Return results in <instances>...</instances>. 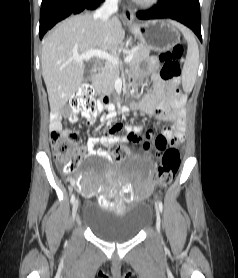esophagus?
Returning a JSON list of instances; mask_svg holds the SVG:
<instances>
[{"label":"esophagus","mask_w":238,"mask_h":278,"mask_svg":"<svg viewBox=\"0 0 238 278\" xmlns=\"http://www.w3.org/2000/svg\"><path fill=\"white\" fill-rule=\"evenodd\" d=\"M124 18L128 24H134V15L131 10L124 11Z\"/></svg>","instance_id":"obj_1"}]
</instances>
